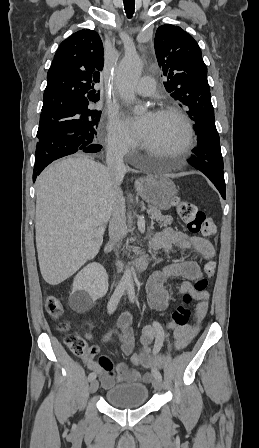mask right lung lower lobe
Here are the masks:
<instances>
[{
  "label": "right lung lower lobe",
  "mask_w": 259,
  "mask_h": 448,
  "mask_svg": "<svg viewBox=\"0 0 259 448\" xmlns=\"http://www.w3.org/2000/svg\"><path fill=\"white\" fill-rule=\"evenodd\" d=\"M100 144L86 145L84 139L74 134H52L38 139L35 151L33 182L42 170L54 160L76 153H95L101 150Z\"/></svg>",
  "instance_id": "1"
}]
</instances>
